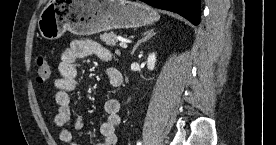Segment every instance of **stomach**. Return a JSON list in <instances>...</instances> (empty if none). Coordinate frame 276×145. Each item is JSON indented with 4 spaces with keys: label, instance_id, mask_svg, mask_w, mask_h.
<instances>
[{
    "label": "stomach",
    "instance_id": "obj_1",
    "mask_svg": "<svg viewBox=\"0 0 276 145\" xmlns=\"http://www.w3.org/2000/svg\"><path fill=\"white\" fill-rule=\"evenodd\" d=\"M158 20L153 8L129 0H50L40 13L38 29L44 39L55 40L66 31L88 36Z\"/></svg>",
    "mask_w": 276,
    "mask_h": 145
}]
</instances>
